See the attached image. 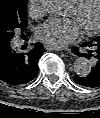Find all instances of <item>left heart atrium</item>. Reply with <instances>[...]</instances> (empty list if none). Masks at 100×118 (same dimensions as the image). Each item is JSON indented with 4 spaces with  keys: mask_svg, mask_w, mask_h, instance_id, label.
Wrapping results in <instances>:
<instances>
[{
    "mask_svg": "<svg viewBox=\"0 0 100 118\" xmlns=\"http://www.w3.org/2000/svg\"><path fill=\"white\" fill-rule=\"evenodd\" d=\"M38 39L53 48H62L78 41L82 28L76 19H50L38 27Z\"/></svg>",
    "mask_w": 100,
    "mask_h": 118,
    "instance_id": "obj_1",
    "label": "left heart atrium"
}]
</instances>
